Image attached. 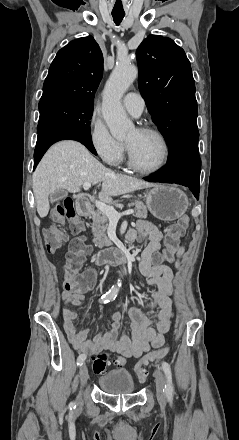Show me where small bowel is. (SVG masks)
I'll list each match as a JSON object with an SVG mask.
<instances>
[{
  "instance_id": "small-bowel-1",
  "label": "small bowel",
  "mask_w": 239,
  "mask_h": 440,
  "mask_svg": "<svg viewBox=\"0 0 239 440\" xmlns=\"http://www.w3.org/2000/svg\"><path fill=\"white\" fill-rule=\"evenodd\" d=\"M162 237L158 226L148 219H140L135 228L127 234V240L130 243L147 242L139 267L147 284L157 288L151 293V299L147 304L148 308L159 309L154 318H149L144 309L132 307L129 310L131 333L127 335L121 328V314L111 311V329L89 340L88 330H79L74 324L78 314L71 309H62L66 334L74 348L81 354L95 355L108 350L117 354L115 364L122 367L127 358H140L151 348H160L164 344V334L170 330L174 318L171 300L174 272L180 267L185 248L184 246L177 248L173 268L159 264L155 261V257L159 255ZM94 276V271L88 270L82 275L79 285L65 276L62 300L74 307L81 305L83 293L90 288Z\"/></svg>"
}]
</instances>
